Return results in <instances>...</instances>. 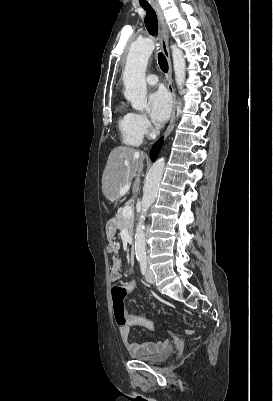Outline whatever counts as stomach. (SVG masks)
Masks as SVG:
<instances>
[{
    "instance_id": "obj_1",
    "label": "stomach",
    "mask_w": 273,
    "mask_h": 401,
    "mask_svg": "<svg viewBox=\"0 0 273 401\" xmlns=\"http://www.w3.org/2000/svg\"><path fill=\"white\" fill-rule=\"evenodd\" d=\"M115 233H116V225H115L113 219H111V221H108V223L106 225L107 239H113Z\"/></svg>"
}]
</instances>
